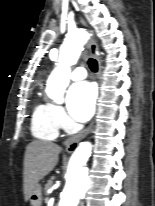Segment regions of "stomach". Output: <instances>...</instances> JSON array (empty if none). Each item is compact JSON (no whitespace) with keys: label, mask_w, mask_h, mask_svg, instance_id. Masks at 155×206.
Masks as SVG:
<instances>
[{"label":"stomach","mask_w":155,"mask_h":206,"mask_svg":"<svg viewBox=\"0 0 155 206\" xmlns=\"http://www.w3.org/2000/svg\"><path fill=\"white\" fill-rule=\"evenodd\" d=\"M29 201L32 206H41L42 192L40 184H37L29 196Z\"/></svg>","instance_id":"1"}]
</instances>
